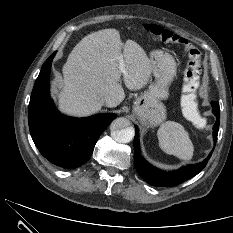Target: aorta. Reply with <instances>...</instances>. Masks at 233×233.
<instances>
[{
  "mask_svg": "<svg viewBox=\"0 0 233 233\" xmlns=\"http://www.w3.org/2000/svg\"><path fill=\"white\" fill-rule=\"evenodd\" d=\"M110 128L112 138L118 143L130 142L135 134L134 128L130 126V121L123 117L113 120Z\"/></svg>",
  "mask_w": 233,
  "mask_h": 233,
  "instance_id": "aorta-1",
  "label": "aorta"
}]
</instances>
